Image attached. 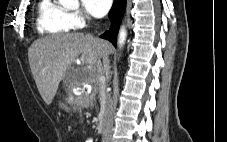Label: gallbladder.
Here are the masks:
<instances>
[{
    "instance_id": "bac80fb5",
    "label": "gallbladder",
    "mask_w": 227,
    "mask_h": 142,
    "mask_svg": "<svg viewBox=\"0 0 227 142\" xmlns=\"http://www.w3.org/2000/svg\"><path fill=\"white\" fill-rule=\"evenodd\" d=\"M70 98H67L66 104H69Z\"/></svg>"
}]
</instances>
